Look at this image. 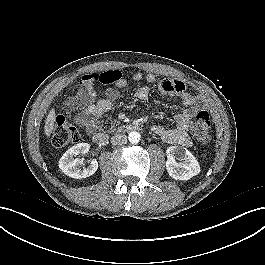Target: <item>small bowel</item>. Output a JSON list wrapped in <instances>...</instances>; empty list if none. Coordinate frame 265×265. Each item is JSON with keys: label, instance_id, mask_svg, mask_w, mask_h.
I'll return each mask as SVG.
<instances>
[{"label": "small bowel", "instance_id": "obj_1", "mask_svg": "<svg viewBox=\"0 0 265 265\" xmlns=\"http://www.w3.org/2000/svg\"><path fill=\"white\" fill-rule=\"evenodd\" d=\"M113 72H117L113 82L99 81L94 78L93 74H85L80 79L77 102L82 108L80 122L88 133H92L96 129L98 121L109 111L118 97L116 90L109 89L106 96L100 98L95 84L114 83L117 88H123L128 84V80L119 71ZM131 79L133 81L145 80L148 83H153L156 77L153 73L144 74L142 72H135L131 76ZM158 90L162 95L178 97L184 109L175 116V125L173 127L168 128L162 125H153V132L166 143L190 147L192 145L188 135L190 123L201 110L198 98L188 92L185 85L178 80L165 79L158 84ZM149 95L150 88L148 86L138 88L135 93V97L140 101L147 100Z\"/></svg>", "mask_w": 265, "mask_h": 265}]
</instances>
